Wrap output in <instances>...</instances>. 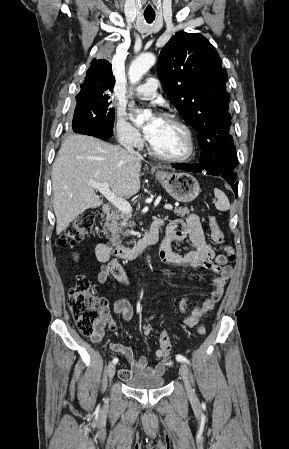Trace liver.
I'll use <instances>...</instances> for the list:
<instances>
[{
    "instance_id": "liver-1",
    "label": "liver",
    "mask_w": 289,
    "mask_h": 449,
    "mask_svg": "<svg viewBox=\"0 0 289 449\" xmlns=\"http://www.w3.org/2000/svg\"><path fill=\"white\" fill-rule=\"evenodd\" d=\"M140 171L141 158L122 147L91 136H70L52 167L56 233L85 210L102 205L92 182L108 183L117 196L131 197L140 189Z\"/></svg>"
}]
</instances>
